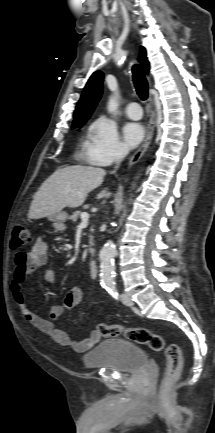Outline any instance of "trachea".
Segmentation results:
<instances>
[{"label":"trachea","instance_id":"trachea-1","mask_svg":"<svg viewBox=\"0 0 215 433\" xmlns=\"http://www.w3.org/2000/svg\"><path fill=\"white\" fill-rule=\"evenodd\" d=\"M133 82L137 94L142 100H146L148 97V82L145 78L143 70L140 66L134 65L132 68Z\"/></svg>","mask_w":215,"mask_h":433}]
</instances>
